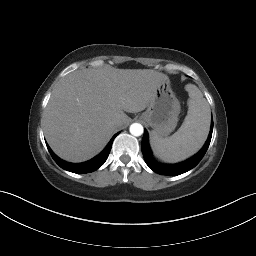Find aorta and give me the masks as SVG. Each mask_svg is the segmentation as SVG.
Returning <instances> with one entry per match:
<instances>
[{
    "label": "aorta",
    "mask_w": 256,
    "mask_h": 256,
    "mask_svg": "<svg viewBox=\"0 0 256 256\" xmlns=\"http://www.w3.org/2000/svg\"><path fill=\"white\" fill-rule=\"evenodd\" d=\"M143 126L139 123H133L130 126V133L134 136H141L143 134Z\"/></svg>",
    "instance_id": "aorta-1"
}]
</instances>
